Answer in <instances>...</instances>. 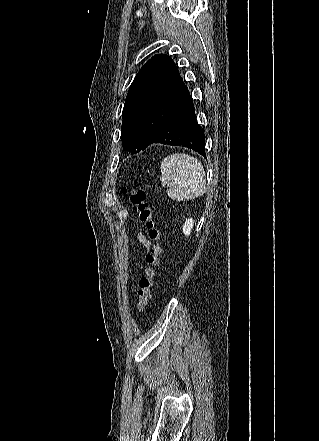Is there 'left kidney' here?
Returning <instances> with one entry per match:
<instances>
[{"mask_svg": "<svg viewBox=\"0 0 319 441\" xmlns=\"http://www.w3.org/2000/svg\"><path fill=\"white\" fill-rule=\"evenodd\" d=\"M193 226H194L193 218L186 219V221H185V223L183 225V233L186 236H189L191 234V232H192Z\"/></svg>", "mask_w": 319, "mask_h": 441, "instance_id": "obj_1", "label": "left kidney"}]
</instances>
